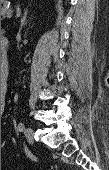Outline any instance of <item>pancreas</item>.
I'll list each match as a JSON object with an SVG mask.
<instances>
[{"label":"pancreas","mask_w":109,"mask_h":170,"mask_svg":"<svg viewBox=\"0 0 109 170\" xmlns=\"http://www.w3.org/2000/svg\"><path fill=\"white\" fill-rule=\"evenodd\" d=\"M11 12H12L11 9H9L6 5H4L1 8V19L6 18Z\"/></svg>","instance_id":"pancreas-1"}]
</instances>
